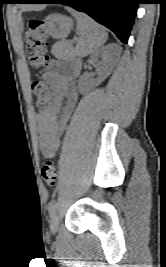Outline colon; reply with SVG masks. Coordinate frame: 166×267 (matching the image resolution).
Masks as SVG:
<instances>
[{"instance_id":"1","label":"colon","mask_w":166,"mask_h":267,"mask_svg":"<svg viewBox=\"0 0 166 267\" xmlns=\"http://www.w3.org/2000/svg\"><path fill=\"white\" fill-rule=\"evenodd\" d=\"M48 38V27L44 20L33 19L29 22L25 33L26 53L30 65L35 69H39L47 63L45 51L48 45ZM32 91L36 97L37 106L41 109L49 107L56 100V91L43 81L37 80L33 82ZM41 174L49 187H57V170L52 161L48 160L44 163Z\"/></svg>"}]
</instances>
